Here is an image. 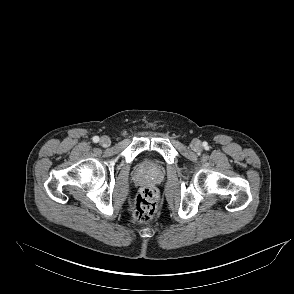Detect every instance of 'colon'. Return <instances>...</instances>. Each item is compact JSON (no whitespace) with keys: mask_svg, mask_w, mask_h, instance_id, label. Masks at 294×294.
Returning <instances> with one entry per match:
<instances>
[{"mask_svg":"<svg viewBox=\"0 0 294 294\" xmlns=\"http://www.w3.org/2000/svg\"><path fill=\"white\" fill-rule=\"evenodd\" d=\"M158 201L159 195L155 187H143L137 194L133 206V217L140 222H148L157 211Z\"/></svg>","mask_w":294,"mask_h":294,"instance_id":"obj_1","label":"colon"}]
</instances>
